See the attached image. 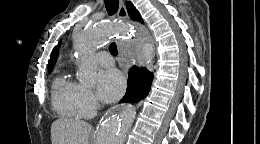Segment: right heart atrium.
<instances>
[{
	"mask_svg": "<svg viewBox=\"0 0 260 144\" xmlns=\"http://www.w3.org/2000/svg\"><path fill=\"white\" fill-rule=\"evenodd\" d=\"M78 100L85 116L91 115L98 107L96 96L90 89L84 86H80Z\"/></svg>",
	"mask_w": 260,
	"mask_h": 144,
	"instance_id": "1",
	"label": "right heart atrium"
}]
</instances>
